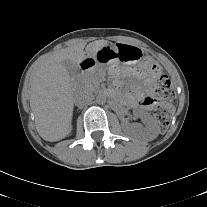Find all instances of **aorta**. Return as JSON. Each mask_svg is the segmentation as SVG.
Returning <instances> with one entry per match:
<instances>
[{
	"mask_svg": "<svg viewBox=\"0 0 207 207\" xmlns=\"http://www.w3.org/2000/svg\"><path fill=\"white\" fill-rule=\"evenodd\" d=\"M107 101V96L106 94L104 93H99L97 96H96V102L100 105H103L105 104Z\"/></svg>",
	"mask_w": 207,
	"mask_h": 207,
	"instance_id": "aorta-1",
	"label": "aorta"
}]
</instances>
